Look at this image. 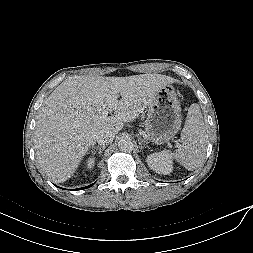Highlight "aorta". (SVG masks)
<instances>
[{
	"label": "aorta",
	"mask_w": 253,
	"mask_h": 253,
	"mask_svg": "<svg viewBox=\"0 0 253 253\" xmlns=\"http://www.w3.org/2000/svg\"><path fill=\"white\" fill-rule=\"evenodd\" d=\"M118 148L122 152H131L134 148V143L130 138H122L118 142Z\"/></svg>",
	"instance_id": "aorta-1"
}]
</instances>
